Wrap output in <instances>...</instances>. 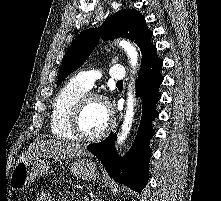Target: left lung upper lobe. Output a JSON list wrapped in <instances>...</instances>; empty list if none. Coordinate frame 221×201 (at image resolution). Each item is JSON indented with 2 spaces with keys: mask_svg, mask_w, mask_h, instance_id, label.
Instances as JSON below:
<instances>
[{
  "mask_svg": "<svg viewBox=\"0 0 221 201\" xmlns=\"http://www.w3.org/2000/svg\"><path fill=\"white\" fill-rule=\"evenodd\" d=\"M99 36L103 40L122 37L134 41L142 52L140 70L157 57L156 46L151 43L153 32L148 29L142 14L131 9L120 10L108 17L98 29L85 30L76 37L65 54L57 83L84 63L98 43Z\"/></svg>",
  "mask_w": 221,
  "mask_h": 201,
  "instance_id": "5c2ea615",
  "label": "left lung upper lobe"
}]
</instances>
